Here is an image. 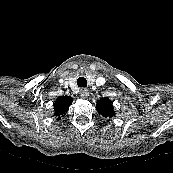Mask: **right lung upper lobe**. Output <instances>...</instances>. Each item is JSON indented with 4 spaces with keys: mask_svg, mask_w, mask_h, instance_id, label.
<instances>
[{
    "mask_svg": "<svg viewBox=\"0 0 173 173\" xmlns=\"http://www.w3.org/2000/svg\"><path fill=\"white\" fill-rule=\"evenodd\" d=\"M73 98L70 96H60L56 99L54 106V115L57 117V120H60L66 112L69 110Z\"/></svg>",
    "mask_w": 173,
    "mask_h": 173,
    "instance_id": "cb5924a9",
    "label": "right lung upper lobe"
}]
</instances>
